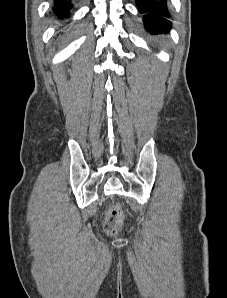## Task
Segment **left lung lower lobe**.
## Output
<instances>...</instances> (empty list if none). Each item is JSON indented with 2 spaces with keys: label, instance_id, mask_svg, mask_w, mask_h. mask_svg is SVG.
Here are the masks:
<instances>
[{
  "label": "left lung lower lobe",
  "instance_id": "0a47b994",
  "mask_svg": "<svg viewBox=\"0 0 227 298\" xmlns=\"http://www.w3.org/2000/svg\"><path fill=\"white\" fill-rule=\"evenodd\" d=\"M167 0H136L140 13L144 15V23L147 31L152 34L166 33L171 28V22L166 19L169 13Z\"/></svg>",
  "mask_w": 227,
  "mask_h": 298
}]
</instances>
